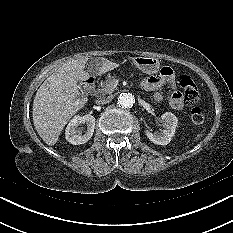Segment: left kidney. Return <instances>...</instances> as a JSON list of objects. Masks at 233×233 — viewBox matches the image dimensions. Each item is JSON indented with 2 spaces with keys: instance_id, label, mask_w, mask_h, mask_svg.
Here are the masks:
<instances>
[{
  "instance_id": "5707ae66",
  "label": "left kidney",
  "mask_w": 233,
  "mask_h": 233,
  "mask_svg": "<svg viewBox=\"0 0 233 233\" xmlns=\"http://www.w3.org/2000/svg\"><path fill=\"white\" fill-rule=\"evenodd\" d=\"M164 124V130L161 133H152L149 130L145 131L147 138L157 145H167L172 140L178 124L177 117L171 112H165L161 116Z\"/></svg>"
}]
</instances>
